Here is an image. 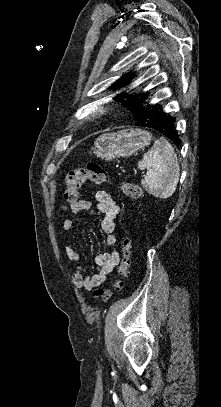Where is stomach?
<instances>
[{"mask_svg":"<svg viewBox=\"0 0 221 407\" xmlns=\"http://www.w3.org/2000/svg\"><path fill=\"white\" fill-rule=\"evenodd\" d=\"M152 138L150 132L133 128L105 133L94 142V153L105 160L129 157L150 145Z\"/></svg>","mask_w":221,"mask_h":407,"instance_id":"obj_1","label":"stomach"}]
</instances>
